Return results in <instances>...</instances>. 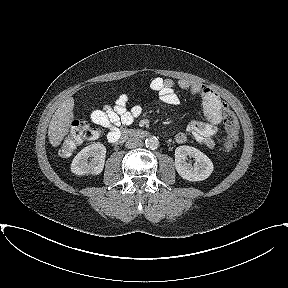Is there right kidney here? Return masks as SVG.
Returning <instances> with one entry per match:
<instances>
[{"label": "right kidney", "mask_w": 288, "mask_h": 288, "mask_svg": "<svg viewBox=\"0 0 288 288\" xmlns=\"http://www.w3.org/2000/svg\"><path fill=\"white\" fill-rule=\"evenodd\" d=\"M106 147L101 143L91 144L82 149L71 163L72 173L82 175H98L105 163Z\"/></svg>", "instance_id": "ca27d5eb"}]
</instances>
